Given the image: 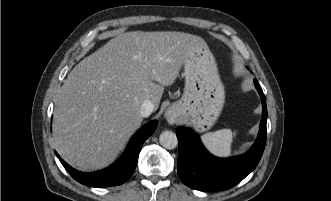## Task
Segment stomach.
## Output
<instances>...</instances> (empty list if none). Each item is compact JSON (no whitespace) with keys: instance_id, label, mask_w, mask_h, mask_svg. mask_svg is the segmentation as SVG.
<instances>
[{"instance_id":"stomach-1","label":"stomach","mask_w":331,"mask_h":201,"mask_svg":"<svg viewBox=\"0 0 331 201\" xmlns=\"http://www.w3.org/2000/svg\"><path fill=\"white\" fill-rule=\"evenodd\" d=\"M185 88L172 112L182 122L203 133L223 109L225 92L215 59L207 45L197 46L184 60Z\"/></svg>"}]
</instances>
